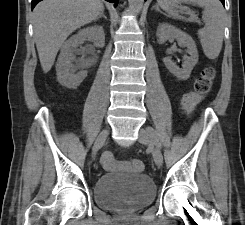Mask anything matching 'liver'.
Returning <instances> with one entry per match:
<instances>
[{
  "instance_id": "6515ba94",
  "label": "liver",
  "mask_w": 245,
  "mask_h": 225,
  "mask_svg": "<svg viewBox=\"0 0 245 225\" xmlns=\"http://www.w3.org/2000/svg\"><path fill=\"white\" fill-rule=\"evenodd\" d=\"M104 11L101 0H43L33 11V28L44 73L52 68L67 37L98 19Z\"/></svg>"
}]
</instances>
